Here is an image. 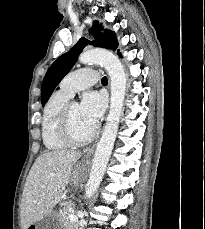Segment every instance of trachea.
<instances>
[{"label": "trachea", "instance_id": "3493384b", "mask_svg": "<svg viewBox=\"0 0 205 229\" xmlns=\"http://www.w3.org/2000/svg\"><path fill=\"white\" fill-rule=\"evenodd\" d=\"M102 83L106 84L108 82L107 78L104 76L101 80Z\"/></svg>", "mask_w": 205, "mask_h": 229}]
</instances>
